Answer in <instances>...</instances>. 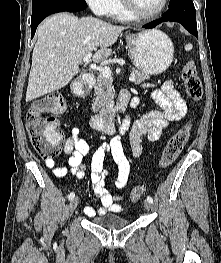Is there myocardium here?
<instances>
[{"label":"myocardium","instance_id":"obj_1","mask_svg":"<svg viewBox=\"0 0 221 263\" xmlns=\"http://www.w3.org/2000/svg\"><path fill=\"white\" fill-rule=\"evenodd\" d=\"M125 10L134 18L138 19H151L159 16L167 7L168 0H163L161 6L154 12L143 13L135 6L133 0H121Z\"/></svg>","mask_w":221,"mask_h":263}]
</instances>
